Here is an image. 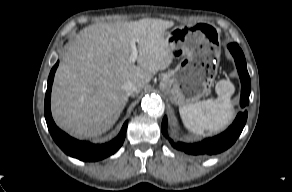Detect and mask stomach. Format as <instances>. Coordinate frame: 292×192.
<instances>
[{"mask_svg":"<svg viewBox=\"0 0 292 192\" xmlns=\"http://www.w3.org/2000/svg\"><path fill=\"white\" fill-rule=\"evenodd\" d=\"M180 57L175 69L163 74L160 89L176 105L196 103L210 91L220 57V33L210 24L177 26L165 33Z\"/></svg>","mask_w":292,"mask_h":192,"instance_id":"0dacf381","label":"stomach"}]
</instances>
